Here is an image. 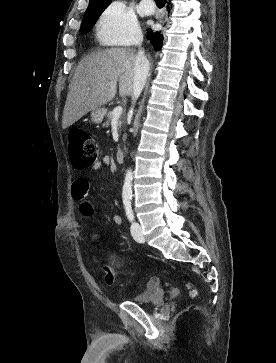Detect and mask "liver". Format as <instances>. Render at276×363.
Masks as SVG:
<instances>
[{
  "mask_svg": "<svg viewBox=\"0 0 276 363\" xmlns=\"http://www.w3.org/2000/svg\"><path fill=\"white\" fill-rule=\"evenodd\" d=\"M135 51L111 48L87 55L80 61L69 85L62 127L66 129L81 117L110 102L117 93L133 94Z\"/></svg>",
  "mask_w": 276,
  "mask_h": 363,
  "instance_id": "1",
  "label": "liver"
}]
</instances>
